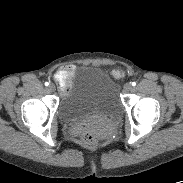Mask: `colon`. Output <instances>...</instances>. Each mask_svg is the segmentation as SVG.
Instances as JSON below:
<instances>
[{"label":"colon","mask_w":183,"mask_h":183,"mask_svg":"<svg viewBox=\"0 0 183 183\" xmlns=\"http://www.w3.org/2000/svg\"><path fill=\"white\" fill-rule=\"evenodd\" d=\"M111 74L115 78H121L123 76V72L120 69H113ZM56 79L60 88L63 89L67 86L69 76L63 73H58ZM81 141L86 148H93L97 143V137L93 133L86 131L82 134Z\"/></svg>","instance_id":"5ec220e1"}]
</instances>
